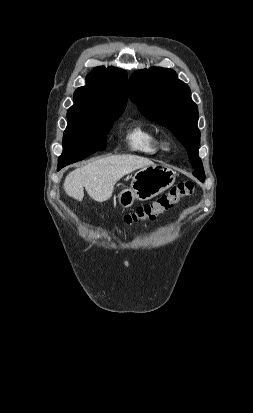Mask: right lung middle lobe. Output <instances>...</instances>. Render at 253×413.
Returning <instances> with one entry per match:
<instances>
[{"instance_id": "dd1d6c3e", "label": "right lung middle lobe", "mask_w": 253, "mask_h": 413, "mask_svg": "<svg viewBox=\"0 0 253 413\" xmlns=\"http://www.w3.org/2000/svg\"><path fill=\"white\" fill-rule=\"evenodd\" d=\"M121 114L98 116L94 119L68 121L63 136V153L59 157L58 167L85 159L96 151H103L107 146V134L112 123Z\"/></svg>"}]
</instances>
